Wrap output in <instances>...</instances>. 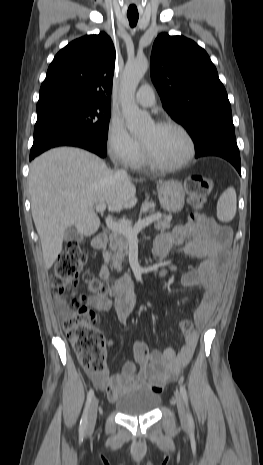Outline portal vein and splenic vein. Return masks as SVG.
Segmentation results:
<instances>
[{
    "label": "portal vein and splenic vein",
    "mask_w": 263,
    "mask_h": 465,
    "mask_svg": "<svg viewBox=\"0 0 263 465\" xmlns=\"http://www.w3.org/2000/svg\"><path fill=\"white\" fill-rule=\"evenodd\" d=\"M106 209L105 203H100L95 206V211L98 213H103ZM161 214H153L149 217L137 222L134 227H130L128 224H122L115 222L112 218H106L107 227L116 233H120L129 239L137 238L138 233L145 228L146 226L152 224L156 219H159Z\"/></svg>",
    "instance_id": "portal-vein-and-splenic-vein-1"
}]
</instances>
